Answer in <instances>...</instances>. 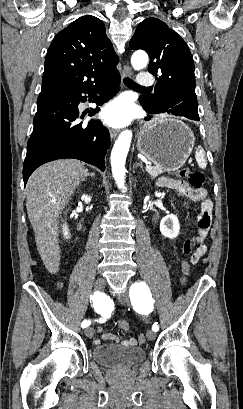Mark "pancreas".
<instances>
[{
	"mask_svg": "<svg viewBox=\"0 0 243 409\" xmlns=\"http://www.w3.org/2000/svg\"><path fill=\"white\" fill-rule=\"evenodd\" d=\"M151 177L155 178L158 175L165 172V170L161 167H152V169L147 170Z\"/></svg>",
	"mask_w": 243,
	"mask_h": 409,
	"instance_id": "cf45deb5",
	"label": "pancreas"
}]
</instances>
